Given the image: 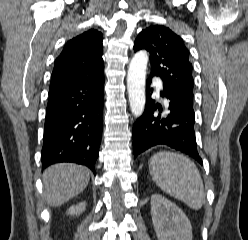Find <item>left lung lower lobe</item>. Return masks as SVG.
<instances>
[{
	"instance_id": "1",
	"label": "left lung lower lobe",
	"mask_w": 248,
	"mask_h": 240,
	"mask_svg": "<svg viewBox=\"0 0 248 240\" xmlns=\"http://www.w3.org/2000/svg\"><path fill=\"white\" fill-rule=\"evenodd\" d=\"M151 78L146 81V106L133 126L134 158L155 145H167L181 151L202 164L197 151L193 103L178 98L164 88L161 96L168 100L165 108L151 99ZM166 110L165 115L155 111Z\"/></svg>"
}]
</instances>
